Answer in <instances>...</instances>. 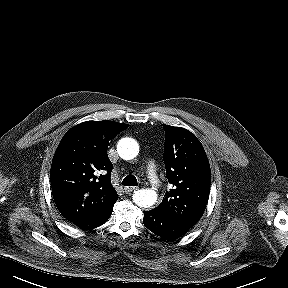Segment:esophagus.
<instances>
[{"instance_id": "esophagus-1", "label": "esophagus", "mask_w": 288, "mask_h": 288, "mask_svg": "<svg viewBox=\"0 0 288 288\" xmlns=\"http://www.w3.org/2000/svg\"><path fill=\"white\" fill-rule=\"evenodd\" d=\"M124 190L126 193L131 194L132 192L138 190V187H125Z\"/></svg>"}]
</instances>
